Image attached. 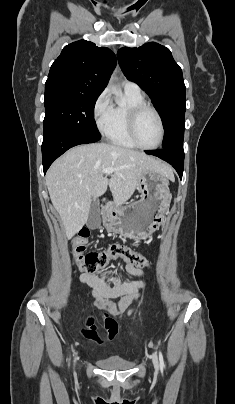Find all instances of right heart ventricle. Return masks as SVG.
Returning <instances> with one entry per match:
<instances>
[{
	"label": "right heart ventricle",
	"instance_id": "e07e8e85",
	"mask_svg": "<svg viewBox=\"0 0 235 404\" xmlns=\"http://www.w3.org/2000/svg\"><path fill=\"white\" fill-rule=\"evenodd\" d=\"M124 97V104L112 106L103 134L114 145L134 149L137 146L131 140L127 129L128 112L131 107L144 104L145 100L141 92L133 93L124 90Z\"/></svg>",
	"mask_w": 235,
	"mask_h": 404
}]
</instances>
